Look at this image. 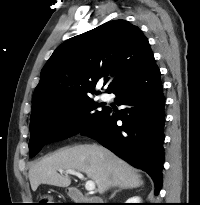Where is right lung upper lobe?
<instances>
[{
    "instance_id": "cb5924a9",
    "label": "right lung upper lobe",
    "mask_w": 200,
    "mask_h": 205,
    "mask_svg": "<svg viewBox=\"0 0 200 205\" xmlns=\"http://www.w3.org/2000/svg\"><path fill=\"white\" fill-rule=\"evenodd\" d=\"M153 60L145 35L125 20L109 21L72 37L56 48L43 67L30 120L48 104L95 93L105 76L106 92L112 93Z\"/></svg>"
}]
</instances>
